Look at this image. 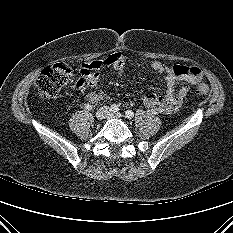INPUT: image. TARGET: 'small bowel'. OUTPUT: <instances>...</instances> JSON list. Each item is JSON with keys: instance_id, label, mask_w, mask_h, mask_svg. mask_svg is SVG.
Listing matches in <instances>:
<instances>
[{"instance_id": "c3829d8e", "label": "small bowel", "mask_w": 233, "mask_h": 233, "mask_svg": "<svg viewBox=\"0 0 233 233\" xmlns=\"http://www.w3.org/2000/svg\"><path fill=\"white\" fill-rule=\"evenodd\" d=\"M129 58L123 53H113L102 59L93 60L89 63L82 65L80 74L81 77L77 82V86L81 87L86 83L93 90L88 94V101L96 103L102 100H107L108 96L96 88L100 72L104 69L111 68L118 74L123 75L125 73V66L128 63ZM182 67L180 65L169 67L160 61H152L150 68L164 76V82L166 84V93L162 96L155 93H149L143 99L144 106L152 111L158 113H173L179 109L184 98L188 93V84H195L200 81L199 77H191L187 75H177L175 68ZM182 85L177 88L178 84Z\"/></svg>"}]
</instances>
